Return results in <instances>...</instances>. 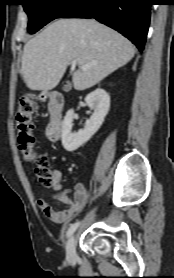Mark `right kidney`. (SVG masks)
Here are the masks:
<instances>
[{
    "label": "right kidney",
    "mask_w": 174,
    "mask_h": 278,
    "mask_svg": "<svg viewBox=\"0 0 174 278\" xmlns=\"http://www.w3.org/2000/svg\"><path fill=\"white\" fill-rule=\"evenodd\" d=\"M86 104L93 114L85 123L83 130L72 132L74 110L67 111L62 123V145L66 151L72 152L78 149L81 145L86 143L98 131L104 122L106 115L110 108V96L102 88L89 93L85 98Z\"/></svg>",
    "instance_id": "right-kidney-1"
}]
</instances>
